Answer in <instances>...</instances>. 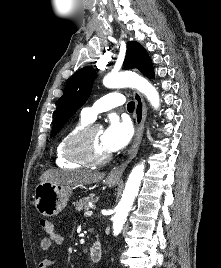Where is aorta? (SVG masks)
I'll list each match as a JSON object with an SVG mask.
<instances>
[{
    "label": "aorta",
    "mask_w": 221,
    "mask_h": 268,
    "mask_svg": "<svg viewBox=\"0 0 221 268\" xmlns=\"http://www.w3.org/2000/svg\"><path fill=\"white\" fill-rule=\"evenodd\" d=\"M103 84L107 88L132 87L143 93L154 109L159 108L160 99L155 87L145 78L130 72L110 73L103 79ZM144 176V164H137L131 171L122 198L116 208L113 217V232L119 234L126 221L135 197L138 194L141 181Z\"/></svg>",
    "instance_id": "aorta-1"
}]
</instances>
